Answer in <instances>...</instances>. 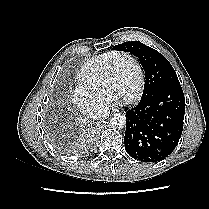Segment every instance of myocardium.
<instances>
[{
    "label": "myocardium",
    "instance_id": "f54148a6",
    "mask_svg": "<svg viewBox=\"0 0 209 209\" xmlns=\"http://www.w3.org/2000/svg\"><path fill=\"white\" fill-rule=\"evenodd\" d=\"M124 57L130 59L134 63L136 71H137V80H136L132 93L129 95L128 98L122 100L123 103H131L138 97L142 88V84H143L142 67L138 59L132 53L117 51L116 55L110 60L103 75L102 93L107 96L108 85L112 76L115 63L117 59L124 58Z\"/></svg>",
    "mask_w": 209,
    "mask_h": 209
}]
</instances>
